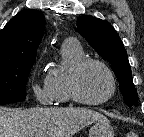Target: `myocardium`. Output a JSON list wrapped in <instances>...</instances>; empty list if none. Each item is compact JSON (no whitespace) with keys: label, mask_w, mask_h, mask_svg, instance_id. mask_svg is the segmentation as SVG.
<instances>
[{"label":"myocardium","mask_w":144,"mask_h":137,"mask_svg":"<svg viewBox=\"0 0 144 137\" xmlns=\"http://www.w3.org/2000/svg\"><path fill=\"white\" fill-rule=\"evenodd\" d=\"M91 64L100 66L107 73L111 82L110 92L106 97L100 100H88L84 98L79 91L78 81H79L80 74L88 65ZM68 88H69L70 97L74 102L86 106H99L107 103L114 97L117 90V82L113 71L106 63L95 58H84L72 68L68 78Z\"/></svg>","instance_id":"myocardium-1"}]
</instances>
